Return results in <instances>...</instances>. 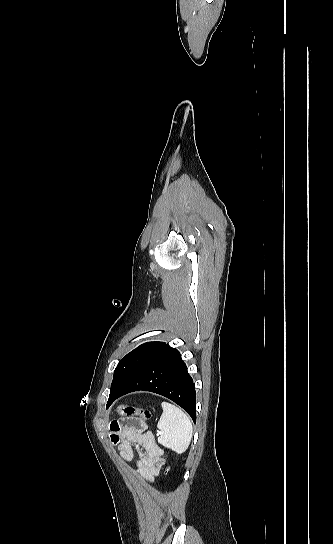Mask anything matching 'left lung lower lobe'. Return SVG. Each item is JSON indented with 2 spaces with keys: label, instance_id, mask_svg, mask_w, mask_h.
I'll use <instances>...</instances> for the list:
<instances>
[{
  "label": "left lung lower lobe",
  "instance_id": "1",
  "mask_svg": "<svg viewBox=\"0 0 333 544\" xmlns=\"http://www.w3.org/2000/svg\"><path fill=\"white\" fill-rule=\"evenodd\" d=\"M140 390L171 399L196 422V392L193 380L180 353L169 344L151 357L121 390L110 393L107 408L117 398Z\"/></svg>",
  "mask_w": 333,
  "mask_h": 544
}]
</instances>
